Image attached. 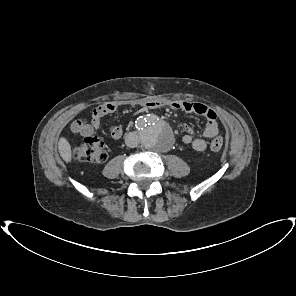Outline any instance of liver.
<instances>
[{
  "label": "liver",
  "mask_w": 296,
  "mask_h": 296,
  "mask_svg": "<svg viewBox=\"0 0 296 296\" xmlns=\"http://www.w3.org/2000/svg\"><path fill=\"white\" fill-rule=\"evenodd\" d=\"M58 150H59L60 156L66 163L71 162V159H72L71 146L69 142L66 140V138L61 137L59 139Z\"/></svg>",
  "instance_id": "liver-1"
}]
</instances>
